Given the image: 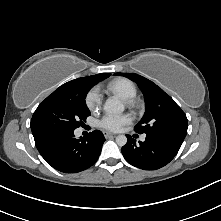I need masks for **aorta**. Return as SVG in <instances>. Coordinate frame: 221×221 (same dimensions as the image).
<instances>
[{
	"instance_id": "obj_1",
	"label": "aorta",
	"mask_w": 221,
	"mask_h": 221,
	"mask_svg": "<svg viewBox=\"0 0 221 221\" xmlns=\"http://www.w3.org/2000/svg\"><path fill=\"white\" fill-rule=\"evenodd\" d=\"M103 109L108 114H120L124 111V105L117 98H109L106 100ZM116 143L121 147L126 145L127 137L125 135H118L116 137Z\"/></svg>"
}]
</instances>
